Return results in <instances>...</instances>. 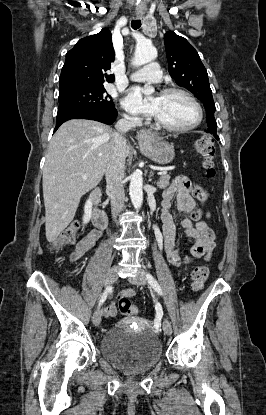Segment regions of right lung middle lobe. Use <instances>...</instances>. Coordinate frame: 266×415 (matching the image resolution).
I'll return each mask as SVG.
<instances>
[{
  "instance_id": "1",
  "label": "right lung middle lobe",
  "mask_w": 266,
  "mask_h": 415,
  "mask_svg": "<svg viewBox=\"0 0 266 415\" xmlns=\"http://www.w3.org/2000/svg\"><path fill=\"white\" fill-rule=\"evenodd\" d=\"M68 107L114 110L111 96L104 85L67 90L59 93V109Z\"/></svg>"
}]
</instances>
